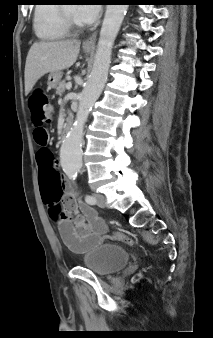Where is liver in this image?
Wrapping results in <instances>:
<instances>
[{
    "label": "liver",
    "instance_id": "1",
    "mask_svg": "<svg viewBox=\"0 0 213 338\" xmlns=\"http://www.w3.org/2000/svg\"><path fill=\"white\" fill-rule=\"evenodd\" d=\"M79 40L36 42L27 55L25 64V95L45 74L71 67L80 51Z\"/></svg>",
    "mask_w": 213,
    "mask_h": 338
}]
</instances>
